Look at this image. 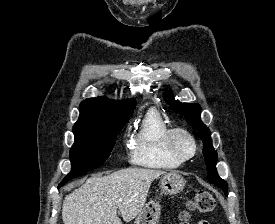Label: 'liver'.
Listing matches in <instances>:
<instances>
[{
  "label": "liver",
  "mask_w": 275,
  "mask_h": 224,
  "mask_svg": "<svg viewBox=\"0 0 275 224\" xmlns=\"http://www.w3.org/2000/svg\"><path fill=\"white\" fill-rule=\"evenodd\" d=\"M164 171L128 168L93 176L67 195L62 205L64 224H122L141 212L151 183Z\"/></svg>",
  "instance_id": "obj_1"
}]
</instances>
